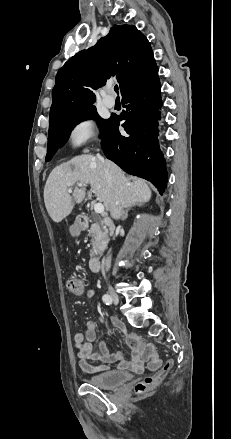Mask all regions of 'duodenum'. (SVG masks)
<instances>
[{
	"instance_id": "obj_1",
	"label": "duodenum",
	"mask_w": 231,
	"mask_h": 439,
	"mask_svg": "<svg viewBox=\"0 0 231 439\" xmlns=\"http://www.w3.org/2000/svg\"><path fill=\"white\" fill-rule=\"evenodd\" d=\"M91 223V219L87 215L78 217V224L81 227H87ZM89 267L93 272H98L101 268L100 254L93 255L89 260Z\"/></svg>"
}]
</instances>
